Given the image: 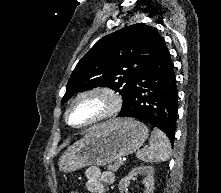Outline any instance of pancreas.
Returning a JSON list of instances; mask_svg holds the SVG:
<instances>
[{
    "label": "pancreas",
    "instance_id": "pancreas-1",
    "mask_svg": "<svg viewBox=\"0 0 221 193\" xmlns=\"http://www.w3.org/2000/svg\"><path fill=\"white\" fill-rule=\"evenodd\" d=\"M121 165H123V163H121L120 161L117 160V161H115L113 164H109V165L107 166V169H108V170H111V171H113V172H116Z\"/></svg>",
    "mask_w": 221,
    "mask_h": 193
}]
</instances>
